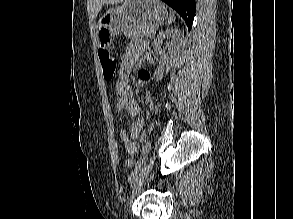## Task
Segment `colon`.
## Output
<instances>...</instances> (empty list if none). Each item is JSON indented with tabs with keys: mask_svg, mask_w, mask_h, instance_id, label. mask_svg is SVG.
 <instances>
[{
	"mask_svg": "<svg viewBox=\"0 0 293 219\" xmlns=\"http://www.w3.org/2000/svg\"><path fill=\"white\" fill-rule=\"evenodd\" d=\"M99 60L103 70V76L106 81H111L115 77L118 59L116 54L108 49H101L98 52ZM135 164L134 158L126 160V166L132 167Z\"/></svg>",
	"mask_w": 293,
	"mask_h": 219,
	"instance_id": "obj_1",
	"label": "colon"
}]
</instances>
